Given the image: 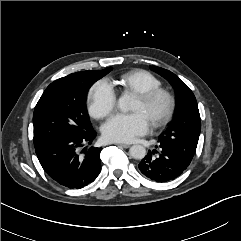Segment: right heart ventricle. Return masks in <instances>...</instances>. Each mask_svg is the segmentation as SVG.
Wrapping results in <instances>:
<instances>
[{
	"mask_svg": "<svg viewBox=\"0 0 241 241\" xmlns=\"http://www.w3.org/2000/svg\"><path fill=\"white\" fill-rule=\"evenodd\" d=\"M116 83L124 92L133 94L161 87V81L155 75L139 69L122 74Z\"/></svg>",
	"mask_w": 241,
	"mask_h": 241,
	"instance_id": "right-heart-ventricle-1",
	"label": "right heart ventricle"
}]
</instances>
